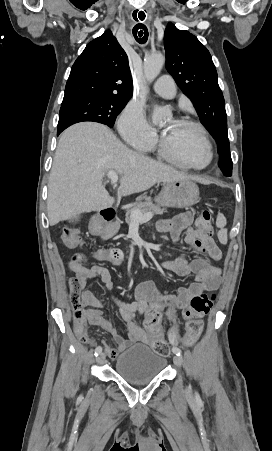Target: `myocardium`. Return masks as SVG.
Returning a JSON list of instances; mask_svg holds the SVG:
<instances>
[{
	"label": "myocardium",
	"instance_id": "myocardium-1",
	"mask_svg": "<svg viewBox=\"0 0 272 451\" xmlns=\"http://www.w3.org/2000/svg\"><path fill=\"white\" fill-rule=\"evenodd\" d=\"M174 120L181 124H184L186 126L194 128L198 132V134L207 150V153H208V162L205 166L199 168V167H194V166L185 164L183 162L184 165H182V168H184L188 171H192V172H200V171H204V170L208 169L209 167H211V165L214 162V151H213L212 145L210 143V140L207 137V134H206L203 126L197 122H194L192 120L182 118V117L175 118ZM161 149L165 155L168 154L169 146L167 144L166 135L164 132H162V134H161ZM170 159L172 162L179 165L180 160L177 156H172Z\"/></svg>",
	"mask_w": 272,
	"mask_h": 451
}]
</instances>
